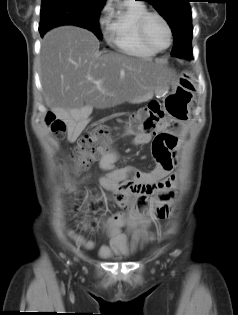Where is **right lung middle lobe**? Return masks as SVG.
Wrapping results in <instances>:
<instances>
[{"label":"right lung middle lobe","instance_id":"1","mask_svg":"<svg viewBox=\"0 0 238 315\" xmlns=\"http://www.w3.org/2000/svg\"><path fill=\"white\" fill-rule=\"evenodd\" d=\"M104 6L98 0H42L39 32L41 36L60 25H76L102 38L99 13Z\"/></svg>","mask_w":238,"mask_h":315}]
</instances>
